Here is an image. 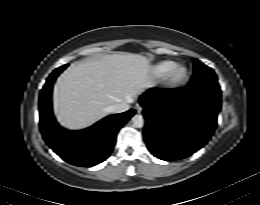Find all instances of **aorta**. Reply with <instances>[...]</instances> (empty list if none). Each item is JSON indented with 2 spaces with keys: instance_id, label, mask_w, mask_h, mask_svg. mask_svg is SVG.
I'll use <instances>...</instances> for the list:
<instances>
[{
  "instance_id": "762f6f07",
  "label": "aorta",
  "mask_w": 260,
  "mask_h": 205,
  "mask_svg": "<svg viewBox=\"0 0 260 205\" xmlns=\"http://www.w3.org/2000/svg\"><path fill=\"white\" fill-rule=\"evenodd\" d=\"M133 126L135 128H142L144 125V119L142 115H134L132 117Z\"/></svg>"
}]
</instances>
